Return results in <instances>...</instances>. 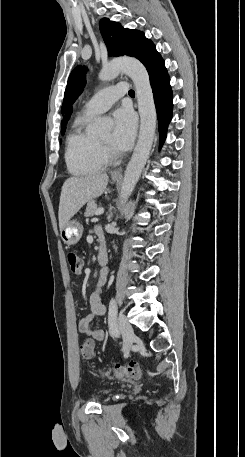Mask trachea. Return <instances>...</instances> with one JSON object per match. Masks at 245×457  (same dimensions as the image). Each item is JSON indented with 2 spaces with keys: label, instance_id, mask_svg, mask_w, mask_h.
I'll use <instances>...</instances> for the list:
<instances>
[{
  "label": "trachea",
  "instance_id": "3493384b",
  "mask_svg": "<svg viewBox=\"0 0 245 457\" xmlns=\"http://www.w3.org/2000/svg\"><path fill=\"white\" fill-rule=\"evenodd\" d=\"M129 95L134 94V90H129Z\"/></svg>",
  "mask_w": 245,
  "mask_h": 457
}]
</instances>
